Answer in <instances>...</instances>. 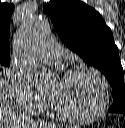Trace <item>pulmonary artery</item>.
<instances>
[{"label": "pulmonary artery", "mask_w": 125, "mask_h": 128, "mask_svg": "<svg viewBox=\"0 0 125 128\" xmlns=\"http://www.w3.org/2000/svg\"><path fill=\"white\" fill-rule=\"evenodd\" d=\"M65 55V49L58 44H45L41 51V57L48 63L58 64Z\"/></svg>", "instance_id": "obj_1"}]
</instances>
